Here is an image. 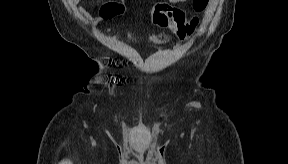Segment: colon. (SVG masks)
Returning a JSON list of instances; mask_svg holds the SVG:
<instances>
[{
    "mask_svg": "<svg viewBox=\"0 0 288 164\" xmlns=\"http://www.w3.org/2000/svg\"><path fill=\"white\" fill-rule=\"evenodd\" d=\"M196 3L198 6L203 7L207 1L198 0ZM121 12V6L116 3H109L99 8V17L107 20ZM150 18L157 27L170 29L182 40L192 37L199 25V19L197 17L187 19L180 8L170 4H156L151 10Z\"/></svg>",
    "mask_w": 288,
    "mask_h": 164,
    "instance_id": "5ec220e1",
    "label": "colon"
}]
</instances>
